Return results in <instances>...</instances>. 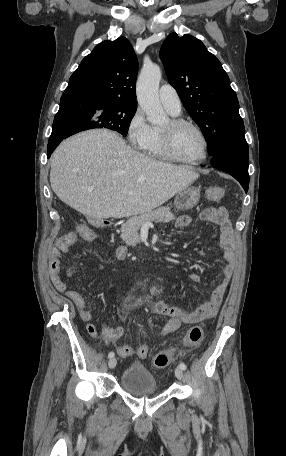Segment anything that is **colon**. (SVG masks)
Here are the masks:
<instances>
[{
  "mask_svg": "<svg viewBox=\"0 0 286 456\" xmlns=\"http://www.w3.org/2000/svg\"><path fill=\"white\" fill-rule=\"evenodd\" d=\"M225 191L221 187L209 188L206 192L207 198L209 200H217L224 196ZM78 231L81 235H90L91 229L85 225H80ZM204 338V330L200 326L192 327L186 334L184 339V344L188 347L196 346L202 342ZM149 349L146 345H141L137 349V355L140 358H145L148 355ZM173 359L172 351H161L157 353L153 358L154 366L157 368L167 367Z\"/></svg>",
  "mask_w": 286,
  "mask_h": 456,
  "instance_id": "1",
  "label": "colon"
}]
</instances>
